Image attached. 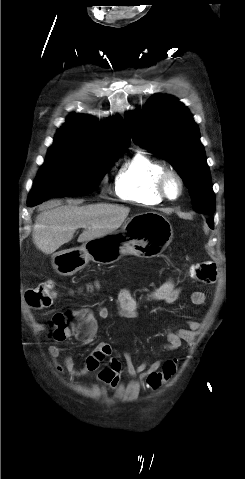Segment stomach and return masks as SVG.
Returning a JSON list of instances; mask_svg holds the SVG:
<instances>
[{"label": "stomach", "instance_id": "obj_1", "mask_svg": "<svg viewBox=\"0 0 245 479\" xmlns=\"http://www.w3.org/2000/svg\"><path fill=\"white\" fill-rule=\"evenodd\" d=\"M172 238V226L163 215L143 212L129 218L119 231L55 253L52 265L56 272L68 276L84 268L90 260L112 264L125 255L152 258L159 256Z\"/></svg>", "mask_w": 245, "mask_h": 479}]
</instances>
